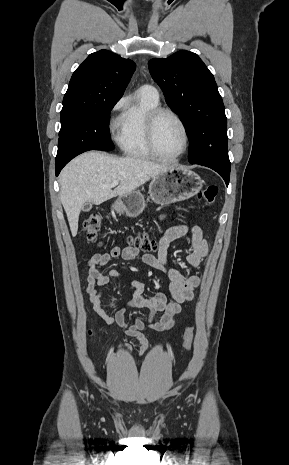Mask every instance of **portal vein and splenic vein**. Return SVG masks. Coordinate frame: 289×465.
Returning a JSON list of instances; mask_svg holds the SVG:
<instances>
[{
  "mask_svg": "<svg viewBox=\"0 0 289 465\" xmlns=\"http://www.w3.org/2000/svg\"><path fill=\"white\" fill-rule=\"evenodd\" d=\"M119 184V181H114L112 182V184L110 185V187H115Z\"/></svg>",
  "mask_w": 289,
  "mask_h": 465,
  "instance_id": "portal-vein-and-splenic-vein-1",
  "label": "portal vein and splenic vein"
}]
</instances>
